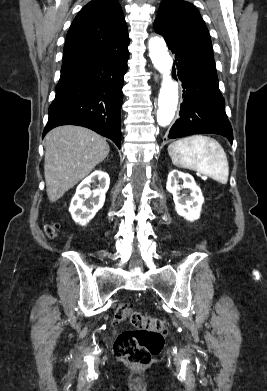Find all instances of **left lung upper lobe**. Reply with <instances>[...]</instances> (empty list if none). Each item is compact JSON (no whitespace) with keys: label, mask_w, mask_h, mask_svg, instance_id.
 Here are the masks:
<instances>
[{"label":"left lung upper lobe","mask_w":267,"mask_h":391,"mask_svg":"<svg viewBox=\"0 0 267 391\" xmlns=\"http://www.w3.org/2000/svg\"><path fill=\"white\" fill-rule=\"evenodd\" d=\"M165 40L213 56L208 29L195 6L181 0H163L154 22Z\"/></svg>","instance_id":"left-lung-upper-lobe-1"}]
</instances>
